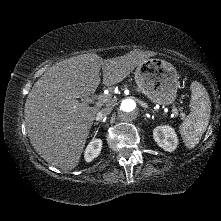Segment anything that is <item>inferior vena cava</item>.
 I'll return each mask as SVG.
<instances>
[{
  "label": "inferior vena cava",
  "instance_id": "inferior-vena-cava-1",
  "mask_svg": "<svg viewBox=\"0 0 221 221\" xmlns=\"http://www.w3.org/2000/svg\"><path fill=\"white\" fill-rule=\"evenodd\" d=\"M112 111L111 107H106L101 109L97 114H96V120L100 121L103 119V117L107 116L108 114H110Z\"/></svg>",
  "mask_w": 221,
  "mask_h": 221
}]
</instances>
